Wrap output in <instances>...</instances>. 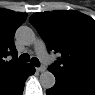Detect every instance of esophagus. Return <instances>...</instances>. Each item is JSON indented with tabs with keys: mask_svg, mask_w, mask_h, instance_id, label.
<instances>
[{
	"mask_svg": "<svg viewBox=\"0 0 95 95\" xmlns=\"http://www.w3.org/2000/svg\"><path fill=\"white\" fill-rule=\"evenodd\" d=\"M36 70L38 72H44L46 70V67L45 66H40V67H37Z\"/></svg>",
	"mask_w": 95,
	"mask_h": 95,
	"instance_id": "34e87169",
	"label": "esophagus"
}]
</instances>
